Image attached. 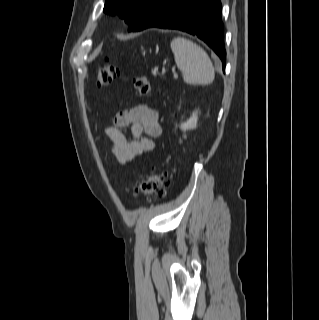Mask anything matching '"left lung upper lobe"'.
Wrapping results in <instances>:
<instances>
[{
  "label": "left lung upper lobe",
  "mask_w": 319,
  "mask_h": 320,
  "mask_svg": "<svg viewBox=\"0 0 319 320\" xmlns=\"http://www.w3.org/2000/svg\"><path fill=\"white\" fill-rule=\"evenodd\" d=\"M157 0H106L103 11L109 15H118L130 26Z\"/></svg>",
  "instance_id": "1"
}]
</instances>
